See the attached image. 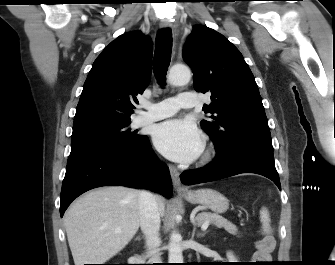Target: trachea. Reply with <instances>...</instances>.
<instances>
[{"mask_svg":"<svg viewBox=\"0 0 335 265\" xmlns=\"http://www.w3.org/2000/svg\"><path fill=\"white\" fill-rule=\"evenodd\" d=\"M172 51V31L170 28L161 29L156 38L153 68L158 83L165 85L166 73L170 65Z\"/></svg>","mask_w":335,"mask_h":265,"instance_id":"trachea-1","label":"trachea"}]
</instances>
